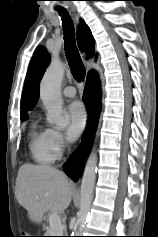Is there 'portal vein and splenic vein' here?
<instances>
[{
    "label": "portal vein and splenic vein",
    "mask_w": 158,
    "mask_h": 237,
    "mask_svg": "<svg viewBox=\"0 0 158 237\" xmlns=\"http://www.w3.org/2000/svg\"><path fill=\"white\" fill-rule=\"evenodd\" d=\"M50 226L54 229L61 226V220L57 213H52L49 218Z\"/></svg>",
    "instance_id": "obj_1"
}]
</instances>
